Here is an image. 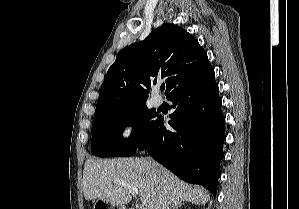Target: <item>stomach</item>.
Returning a JSON list of instances; mask_svg holds the SVG:
<instances>
[{"label": "stomach", "mask_w": 299, "mask_h": 209, "mask_svg": "<svg viewBox=\"0 0 299 209\" xmlns=\"http://www.w3.org/2000/svg\"><path fill=\"white\" fill-rule=\"evenodd\" d=\"M94 209H114V205L104 200L98 199L94 204ZM117 209H124V207L119 206Z\"/></svg>", "instance_id": "0dacf381"}]
</instances>
